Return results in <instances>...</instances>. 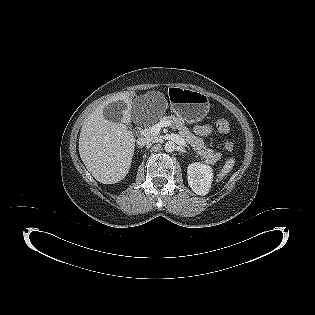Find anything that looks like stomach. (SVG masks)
Masks as SVG:
<instances>
[{
    "label": "stomach",
    "mask_w": 315,
    "mask_h": 315,
    "mask_svg": "<svg viewBox=\"0 0 315 315\" xmlns=\"http://www.w3.org/2000/svg\"><path fill=\"white\" fill-rule=\"evenodd\" d=\"M168 97L173 113L189 124L202 121L209 112V97L203 92L173 86Z\"/></svg>",
    "instance_id": "stomach-1"
}]
</instances>
